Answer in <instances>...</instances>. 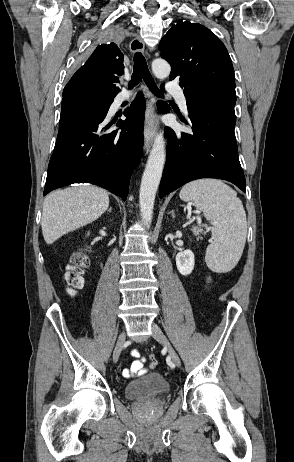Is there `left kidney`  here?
I'll return each mask as SVG.
<instances>
[{"label":"left kidney","mask_w":294,"mask_h":462,"mask_svg":"<svg viewBox=\"0 0 294 462\" xmlns=\"http://www.w3.org/2000/svg\"><path fill=\"white\" fill-rule=\"evenodd\" d=\"M195 265L194 254L191 250H184L176 255V266L182 275H189Z\"/></svg>","instance_id":"left-kidney-1"}]
</instances>
